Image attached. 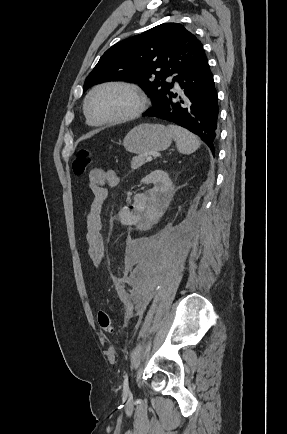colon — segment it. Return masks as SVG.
Listing matches in <instances>:
<instances>
[{
    "mask_svg": "<svg viewBox=\"0 0 287 434\" xmlns=\"http://www.w3.org/2000/svg\"><path fill=\"white\" fill-rule=\"evenodd\" d=\"M90 157L91 154L86 149L80 150L75 155L72 162V169L76 175H83L86 172L88 166L90 165V161H91ZM97 320L103 332L107 334L113 333L114 322L111 315L108 312L104 310L99 311L97 314Z\"/></svg>",
    "mask_w": 287,
    "mask_h": 434,
    "instance_id": "1",
    "label": "colon"
}]
</instances>
